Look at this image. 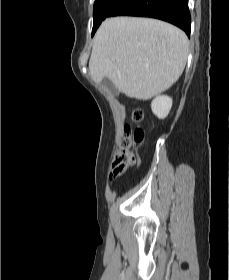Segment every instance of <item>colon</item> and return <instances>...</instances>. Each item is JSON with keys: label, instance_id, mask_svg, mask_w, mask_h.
I'll list each match as a JSON object with an SVG mask.
<instances>
[{"label": "colon", "instance_id": "colon-1", "mask_svg": "<svg viewBox=\"0 0 229 280\" xmlns=\"http://www.w3.org/2000/svg\"><path fill=\"white\" fill-rule=\"evenodd\" d=\"M143 118L141 110H136L133 119L137 122L135 125H127L124 130V137L120 143L119 150L112 163L113 176L122 175L125 170L135 161L133 148L143 143L145 132L138 124Z\"/></svg>", "mask_w": 229, "mask_h": 280}]
</instances>
